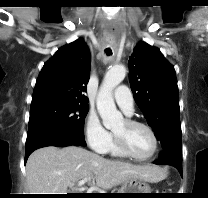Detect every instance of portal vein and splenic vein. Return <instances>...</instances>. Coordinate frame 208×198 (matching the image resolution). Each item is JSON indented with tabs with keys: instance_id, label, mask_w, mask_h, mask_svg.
<instances>
[{
	"instance_id": "1",
	"label": "portal vein and splenic vein",
	"mask_w": 208,
	"mask_h": 198,
	"mask_svg": "<svg viewBox=\"0 0 208 198\" xmlns=\"http://www.w3.org/2000/svg\"><path fill=\"white\" fill-rule=\"evenodd\" d=\"M88 180H89V178H84L78 182V185L83 186Z\"/></svg>"
}]
</instances>
